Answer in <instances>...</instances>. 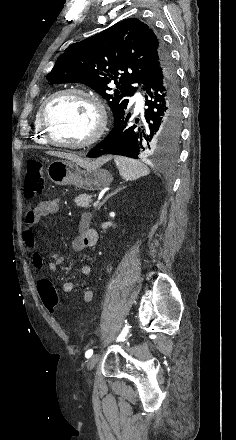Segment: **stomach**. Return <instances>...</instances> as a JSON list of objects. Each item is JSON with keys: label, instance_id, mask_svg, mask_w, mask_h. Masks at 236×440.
Returning a JSON list of instances; mask_svg holds the SVG:
<instances>
[{"label": "stomach", "instance_id": "1", "mask_svg": "<svg viewBox=\"0 0 236 440\" xmlns=\"http://www.w3.org/2000/svg\"><path fill=\"white\" fill-rule=\"evenodd\" d=\"M48 177L56 185H73L77 188L95 191L109 186L111 173L100 167L82 166L72 160H54L47 168Z\"/></svg>", "mask_w": 236, "mask_h": 440}]
</instances>
